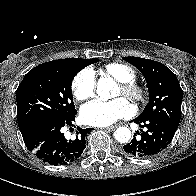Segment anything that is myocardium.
Returning <instances> with one entry per match:
<instances>
[{
    "mask_svg": "<svg viewBox=\"0 0 196 196\" xmlns=\"http://www.w3.org/2000/svg\"><path fill=\"white\" fill-rule=\"evenodd\" d=\"M119 88L124 97L134 102L143 101L146 97V89L135 80L119 82Z\"/></svg>",
    "mask_w": 196,
    "mask_h": 196,
    "instance_id": "obj_1",
    "label": "myocardium"
}]
</instances>
